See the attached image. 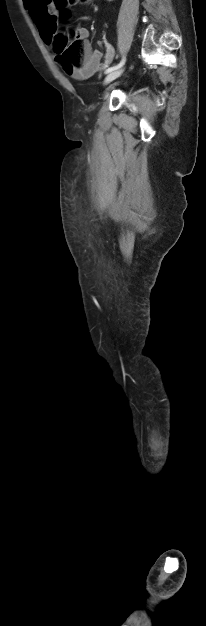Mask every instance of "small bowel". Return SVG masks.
Returning <instances> with one entry per match:
<instances>
[{
	"mask_svg": "<svg viewBox=\"0 0 206 626\" xmlns=\"http://www.w3.org/2000/svg\"><path fill=\"white\" fill-rule=\"evenodd\" d=\"M27 9L36 23L40 35L44 42L52 47L56 55V63L63 71L76 80H85L92 77L98 71L104 69L114 57L113 47L107 43H101V48L92 50L90 44L86 42L88 53L81 65L68 62L61 53L56 50V30L58 13L49 0H32L27 2ZM83 18H80L82 20ZM77 35L82 39H87L89 31L83 26H79Z\"/></svg>",
	"mask_w": 206,
	"mask_h": 626,
	"instance_id": "c3829d8e",
	"label": "small bowel"
}]
</instances>
